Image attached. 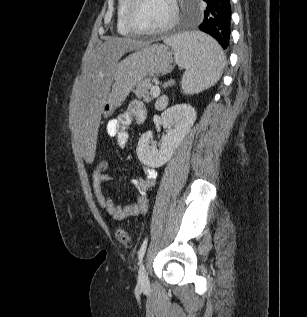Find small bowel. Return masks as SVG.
I'll return each mask as SVG.
<instances>
[{
    "label": "small bowel",
    "mask_w": 307,
    "mask_h": 317,
    "mask_svg": "<svg viewBox=\"0 0 307 317\" xmlns=\"http://www.w3.org/2000/svg\"><path fill=\"white\" fill-rule=\"evenodd\" d=\"M146 117V109L140 101H132L128 109L122 112L117 118L111 119L106 125L109 136L114 137L121 148L128 145L129 134L127 127L135 119L137 123H142ZM157 178V171L149 166L143 167V176L133 179V185L137 190L135 200L126 206H119L109 198L103 189V185L111 180L113 176L109 173H99L93 171L92 185L98 204L113 219L124 220L129 217L138 216L145 213L148 209V190L154 186Z\"/></svg>",
    "instance_id": "c3829d8e"
}]
</instances>
